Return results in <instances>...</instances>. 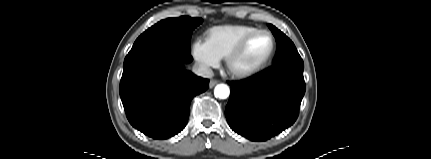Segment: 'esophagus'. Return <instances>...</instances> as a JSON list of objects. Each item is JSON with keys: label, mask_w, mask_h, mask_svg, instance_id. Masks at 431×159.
I'll return each mask as SVG.
<instances>
[{"label": "esophagus", "mask_w": 431, "mask_h": 159, "mask_svg": "<svg viewBox=\"0 0 431 159\" xmlns=\"http://www.w3.org/2000/svg\"><path fill=\"white\" fill-rule=\"evenodd\" d=\"M217 83H218V81H217V80L212 79V80H210V82H209V87H210V88H213Z\"/></svg>", "instance_id": "34e87169"}]
</instances>
